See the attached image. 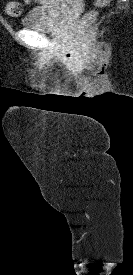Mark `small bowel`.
<instances>
[{
	"instance_id": "1",
	"label": "small bowel",
	"mask_w": 133,
	"mask_h": 275,
	"mask_svg": "<svg viewBox=\"0 0 133 275\" xmlns=\"http://www.w3.org/2000/svg\"><path fill=\"white\" fill-rule=\"evenodd\" d=\"M26 3H29L31 0H24Z\"/></svg>"
}]
</instances>
